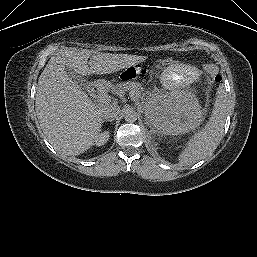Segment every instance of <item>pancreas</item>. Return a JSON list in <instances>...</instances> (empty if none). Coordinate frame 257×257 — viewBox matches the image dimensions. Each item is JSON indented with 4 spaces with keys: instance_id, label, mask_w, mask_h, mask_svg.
Returning <instances> with one entry per match:
<instances>
[{
    "instance_id": "1",
    "label": "pancreas",
    "mask_w": 257,
    "mask_h": 257,
    "mask_svg": "<svg viewBox=\"0 0 257 257\" xmlns=\"http://www.w3.org/2000/svg\"><path fill=\"white\" fill-rule=\"evenodd\" d=\"M108 90L109 86L104 87ZM117 89H122L124 91H130L133 94V100L136 102L139 100V97L142 95V88L138 83L134 82H127V83H120L115 86ZM103 92V91H102Z\"/></svg>"
}]
</instances>
